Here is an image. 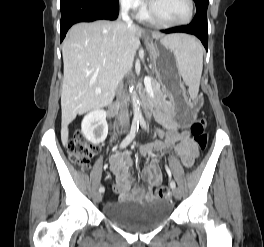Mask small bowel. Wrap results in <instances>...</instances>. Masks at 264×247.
Segmentation results:
<instances>
[{
	"instance_id": "obj_1",
	"label": "small bowel",
	"mask_w": 264,
	"mask_h": 247,
	"mask_svg": "<svg viewBox=\"0 0 264 247\" xmlns=\"http://www.w3.org/2000/svg\"><path fill=\"white\" fill-rule=\"evenodd\" d=\"M159 122L167 128V132L156 131L158 137L151 144H146L140 148L142 155H148L153 150H163L170 145H174L176 152L186 168H190L197 156L198 150L194 141L189 137L188 132L180 131L176 122L167 117L163 112H157ZM132 166V158L129 152L115 153L111 159V170L115 175L116 185L114 192L120 195L121 199L130 196L140 199H153L154 189L161 182V174L159 165L153 160L142 172L143 179L148 183L147 189L131 190L132 177L130 176V168Z\"/></svg>"
}]
</instances>
